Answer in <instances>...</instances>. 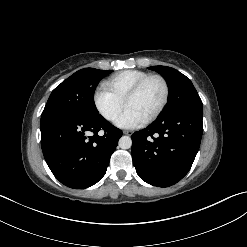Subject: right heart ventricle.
<instances>
[{
    "mask_svg": "<svg viewBox=\"0 0 247 247\" xmlns=\"http://www.w3.org/2000/svg\"><path fill=\"white\" fill-rule=\"evenodd\" d=\"M147 75L149 73L141 70H125L111 76L105 81V86L124 100L129 90Z\"/></svg>",
    "mask_w": 247,
    "mask_h": 247,
    "instance_id": "e07e8e85",
    "label": "right heart ventricle"
}]
</instances>
